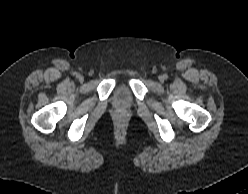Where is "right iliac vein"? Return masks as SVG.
I'll return each instance as SVG.
<instances>
[{"instance_id": "63e3f726", "label": "right iliac vein", "mask_w": 248, "mask_h": 194, "mask_svg": "<svg viewBox=\"0 0 248 194\" xmlns=\"http://www.w3.org/2000/svg\"><path fill=\"white\" fill-rule=\"evenodd\" d=\"M79 80H80V81H83V77H82V76H79Z\"/></svg>"}]
</instances>
